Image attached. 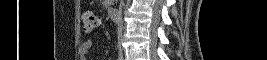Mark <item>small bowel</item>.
<instances>
[{
    "mask_svg": "<svg viewBox=\"0 0 267 60\" xmlns=\"http://www.w3.org/2000/svg\"><path fill=\"white\" fill-rule=\"evenodd\" d=\"M83 50L86 52V53H90V52H93V49H92V42L90 40H87L83 43Z\"/></svg>",
    "mask_w": 267,
    "mask_h": 60,
    "instance_id": "c3829d8e",
    "label": "small bowel"
}]
</instances>
